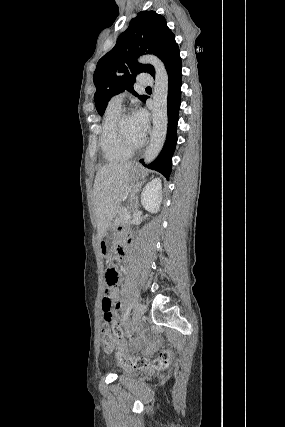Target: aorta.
Segmentation results:
<instances>
[{"instance_id":"1","label":"aorta","mask_w":285,"mask_h":427,"mask_svg":"<svg viewBox=\"0 0 285 427\" xmlns=\"http://www.w3.org/2000/svg\"><path fill=\"white\" fill-rule=\"evenodd\" d=\"M140 63H148L155 70V85L153 90V130L151 141L144 155L145 163L155 160L160 153L167 134V98H168V74L163 62L153 55H145L139 58Z\"/></svg>"}]
</instances>
